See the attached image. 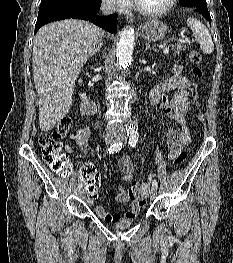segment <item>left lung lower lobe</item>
I'll list each match as a JSON object with an SVG mask.
<instances>
[{"instance_id":"1","label":"left lung lower lobe","mask_w":233,"mask_h":263,"mask_svg":"<svg viewBox=\"0 0 233 263\" xmlns=\"http://www.w3.org/2000/svg\"><path fill=\"white\" fill-rule=\"evenodd\" d=\"M199 13H201L208 21L209 23L211 24V17H210V13L208 12L207 10V6H204V7H194V8H191Z\"/></svg>"}]
</instances>
